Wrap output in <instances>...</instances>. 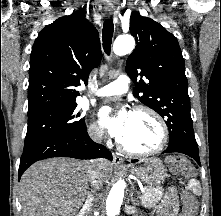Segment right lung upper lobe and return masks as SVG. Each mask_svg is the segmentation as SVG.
Here are the masks:
<instances>
[{"label": "right lung upper lobe", "instance_id": "right-lung-upper-lobe-1", "mask_svg": "<svg viewBox=\"0 0 221 216\" xmlns=\"http://www.w3.org/2000/svg\"><path fill=\"white\" fill-rule=\"evenodd\" d=\"M83 9L47 25L36 38L30 58L28 115L76 104L75 87L87 83L102 52L96 28Z\"/></svg>", "mask_w": 221, "mask_h": 216}]
</instances>
